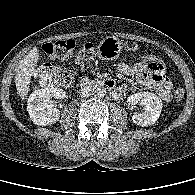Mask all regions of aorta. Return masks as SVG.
I'll return each instance as SVG.
<instances>
[{
  "label": "aorta",
  "mask_w": 195,
  "mask_h": 195,
  "mask_svg": "<svg viewBox=\"0 0 195 195\" xmlns=\"http://www.w3.org/2000/svg\"><path fill=\"white\" fill-rule=\"evenodd\" d=\"M105 94H106V89H105V88L98 87V88L95 90V95H96L98 98L104 97Z\"/></svg>",
  "instance_id": "aorta-1"
}]
</instances>
